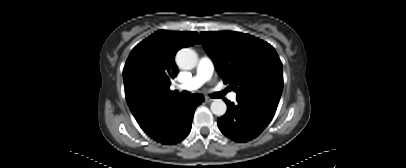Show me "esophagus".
<instances>
[{
	"label": "esophagus",
	"mask_w": 406,
	"mask_h": 168,
	"mask_svg": "<svg viewBox=\"0 0 406 168\" xmlns=\"http://www.w3.org/2000/svg\"><path fill=\"white\" fill-rule=\"evenodd\" d=\"M213 100H214V99H212V98H210V97H208V96L205 97V101H206V102H212Z\"/></svg>",
	"instance_id": "esophagus-1"
}]
</instances>
